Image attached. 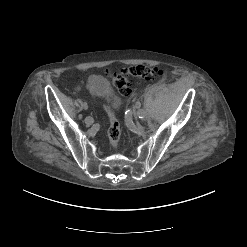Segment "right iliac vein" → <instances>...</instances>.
Here are the masks:
<instances>
[{
	"label": "right iliac vein",
	"instance_id": "63e3f726",
	"mask_svg": "<svg viewBox=\"0 0 247 247\" xmlns=\"http://www.w3.org/2000/svg\"><path fill=\"white\" fill-rule=\"evenodd\" d=\"M93 122H94V120H93L92 117H86V118H85V123H86L87 125H91Z\"/></svg>",
	"mask_w": 247,
	"mask_h": 247
}]
</instances>
